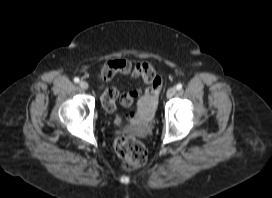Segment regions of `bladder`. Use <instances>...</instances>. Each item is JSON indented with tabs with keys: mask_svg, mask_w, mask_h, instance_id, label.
Here are the masks:
<instances>
[{
	"mask_svg": "<svg viewBox=\"0 0 272 198\" xmlns=\"http://www.w3.org/2000/svg\"><path fill=\"white\" fill-rule=\"evenodd\" d=\"M156 105L154 101H146L138 105L136 117L143 123L148 122L154 115Z\"/></svg>",
	"mask_w": 272,
	"mask_h": 198,
	"instance_id": "bladder-1",
	"label": "bladder"
}]
</instances>
